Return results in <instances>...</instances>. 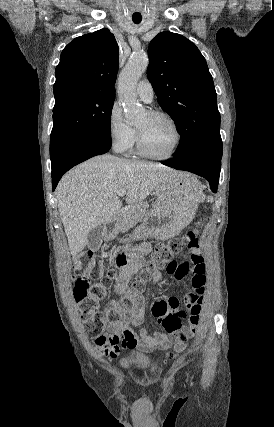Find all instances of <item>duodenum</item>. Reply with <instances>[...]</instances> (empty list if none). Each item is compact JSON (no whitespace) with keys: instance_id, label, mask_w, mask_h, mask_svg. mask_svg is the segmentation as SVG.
<instances>
[{"instance_id":"duodenum-1","label":"duodenum","mask_w":274,"mask_h":427,"mask_svg":"<svg viewBox=\"0 0 274 427\" xmlns=\"http://www.w3.org/2000/svg\"><path fill=\"white\" fill-rule=\"evenodd\" d=\"M115 230V223L114 222H108L105 226V233L111 234Z\"/></svg>"}]
</instances>
